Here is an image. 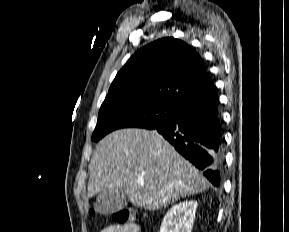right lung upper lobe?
I'll list each match as a JSON object with an SVG mask.
<instances>
[{
	"label": "right lung upper lobe",
	"instance_id": "1",
	"mask_svg": "<svg viewBox=\"0 0 289 232\" xmlns=\"http://www.w3.org/2000/svg\"><path fill=\"white\" fill-rule=\"evenodd\" d=\"M128 96L176 108L218 97L200 55L172 37L142 47L117 73L106 99Z\"/></svg>",
	"mask_w": 289,
	"mask_h": 232
}]
</instances>
